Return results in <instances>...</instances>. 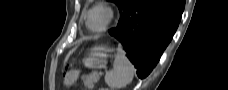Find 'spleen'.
<instances>
[{
  "label": "spleen",
  "mask_w": 228,
  "mask_h": 90,
  "mask_svg": "<svg viewBox=\"0 0 228 90\" xmlns=\"http://www.w3.org/2000/svg\"><path fill=\"white\" fill-rule=\"evenodd\" d=\"M134 71V66L125 56L124 50L118 46L113 70L106 73L105 82L111 88H123L132 81Z\"/></svg>",
  "instance_id": "3e777b00"
}]
</instances>
